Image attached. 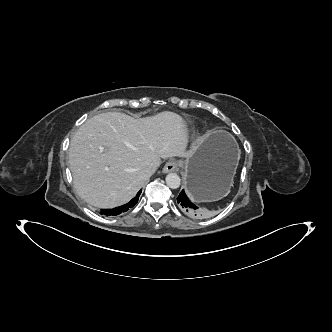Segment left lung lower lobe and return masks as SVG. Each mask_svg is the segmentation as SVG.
<instances>
[{
    "instance_id": "obj_1",
    "label": "left lung lower lobe",
    "mask_w": 332,
    "mask_h": 332,
    "mask_svg": "<svg viewBox=\"0 0 332 332\" xmlns=\"http://www.w3.org/2000/svg\"><path fill=\"white\" fill-rule=\"evenodd\" d=\"M177 202L179 203L182 210L195 218L201 219L205 217V213L202 210H199L186 196L184 190H182L177 197Z\"/></svg>"
}]
</instances>
